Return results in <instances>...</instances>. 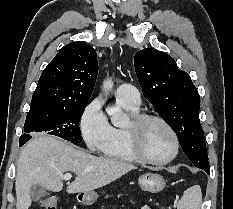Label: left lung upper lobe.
Listing matches in <instances>:
<instances>
[{"label":"left lung upper lobe","instance_id":"left-lung-upper-lobe-1","mask_svg":"<svg viewBox=\"0 0 233 209\" xmlns=\"http://www.w3.org/2000/svg\"><path fill=\"white\" fill-rule=\"evenodd\" d=\"M134 66L146 99L175 131L182 150L199 168L209 166L199 119V94L175 60L156 49L135 54Z\"/></svg>","mask_w":233,"mask_h":209}]
</instances>
